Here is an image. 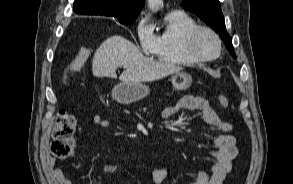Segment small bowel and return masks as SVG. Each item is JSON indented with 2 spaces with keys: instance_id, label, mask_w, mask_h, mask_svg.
<instances>
[{
  "instance_id": "obj_1",
  "label": "small bowel",
  "mask_w": 293,
  "mask_h": 184,
  "mask_svg": "<svg viewBox=\"0 0 293 184\" xmlns=\"http://www.w3.org/2000/svg\"><path fill=\"white\" fill-rule=\"evenodd\" d=\"M199 111L203 122L219 131L213 138L214 150L211 156L214 159V165L208 170L200 172L195 181L189 184H223L226 176L232 168V162L238 154L236 139L231 134L232 124L222 120L209 102L202 97L184 96L176 104L164 109L163 117L170 118L181 111ZM93 122L100 127H109L110 122L100 114L93 117ZM118 170L115 164H105L100 168L104 173L114 174ZM48 174L54 184H72L65 176L64 172L54 167V161L51 159L48 163ZM153 180L155 184H164L167 180L166 167H158L153 171ZM131 184V183H125Z\"/></svg>"
}]
</instances>
